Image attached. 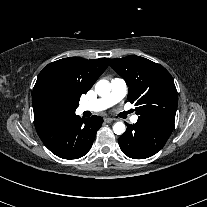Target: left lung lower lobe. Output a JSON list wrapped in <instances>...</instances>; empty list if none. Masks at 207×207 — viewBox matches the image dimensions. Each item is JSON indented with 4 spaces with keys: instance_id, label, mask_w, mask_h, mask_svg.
I'll return each instance as SVG.
<instances>
[{
    "instance_id": "left-lung-lower-lobe-1",
    "label": "left lung lower lobe",
    "mask_w": 207,
    "mask_h": 207,
    "mask_svg": "<svg viewBox=\"0 0 207 207\" xmlns=\"http://www.w3.org/2000/svg\"><path fill=\"white\" fill-rule=\"evenodd\" d=\"M174 124L156 120H140L127 125L118 142L125 155L133 159H145L156 154L168 140Z\"/></svg>"
}]
</instances>
